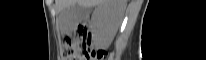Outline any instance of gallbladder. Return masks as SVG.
Instances as JSON below:
<instances>
[{"label": "gallbladder", "mask_w": 206, "mask_h": 60, "mask_svg": "<svg viewBox=\"0 0 206 60\" xmlns=\"http://www.w3.org/2000/svg\"><path fill=\"white\" fill-rule=\"evenodd\" d=\"M87 13L88 8L81 7L78 4L71 5L59 13V24L66 32L72 31L86 18Z\"/></svg>", "instance_id": "bac80fb5"}]
</instances>
